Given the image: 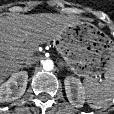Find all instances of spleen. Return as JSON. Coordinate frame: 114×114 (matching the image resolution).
Wrapping results in <instances>:
<instances>
[{"mask_svg": "<svg viewBox=\"0 0 114 114\" xmlns=\"http://www.w3.org/2000/svg\"><path fill=\"white\" fill-rule=\"evenodd\" d=\"M84 85L85 99L91 108L100 109L106 106L114 97V66L104 74L103 83L85 79Z\"/></svg>", "mask_w": 114, "mask_h": 114, "instance_id": "spleen-1", "label": "spleen"}]
</instances>
